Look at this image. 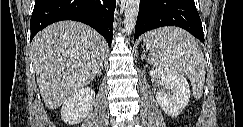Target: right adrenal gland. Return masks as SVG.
<instances>
[{
    "label": "right adrenal gland",
    "mask_w": 243,
    "mask_h": 127,
    "mask_svg": "<svg viewBox=\"0 0 243 127\" xmlns=\"http://www.w3.org/2000/svg\"><path fill=\"white\" fill-rule=\"evenodd\" d=\"M102 70H103V65L101 66L100 71L98 72V75L102 74Z\"/></svg>",
    "instance_id": "obj_1"
}]
</instances>
